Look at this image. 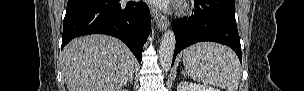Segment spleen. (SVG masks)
<instances>
[{
	"label": "spleen",
	"mask_w": 304,
	"mask_h": 91,
	"mask_svg": "<svg viewBox=\"0 0 304 91\" xmlns=\"http://www.w3.org/2000/svg\"><path fill=\"white\" fill-rule=\"evenodd\" d=\"M183 63L188 75L203 84L237 91L241 76L238 57L227 46L202 42L185 50Z\"/></svg>",
	"instance_id": "spleen-1"
}]
</instances>
